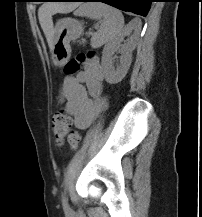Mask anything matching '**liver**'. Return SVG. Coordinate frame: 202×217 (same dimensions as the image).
Here are the masks:
<instances>
[{"label":"liver","instance_id":"obj_1","mask_svg":"<svg viewBox=\"0 0 202 217\" xmlns=\"http://www.w3.org/2000/svg\"><path fill=\"white\" fill-rule=\"evenodd\" d=\"M78 6L77 3H45L38 10L41 28L46 36L50 50L53 47L54 28L52 15L56 13H70Z\"/></svg>","mask_w":202,"mask_h":217}]
</instances>
